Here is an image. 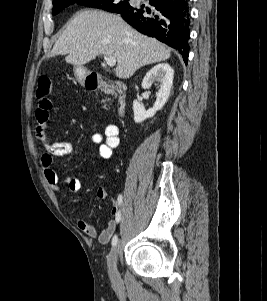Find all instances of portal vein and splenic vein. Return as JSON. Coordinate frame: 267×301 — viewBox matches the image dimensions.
Here are the masks:
<instances>
[{"mask_svg": "<svg viewBox=\"0 0 267 301\" xmlns=\"http://www.w3.org/2000/svg\"><path fill=\"white\" fill-rule=\"evenodd\" d=\"M104 59L109 67H113L116 64V58L112 56L104 55Z\"/></svg>", "mask_w": 267, "mask_h": 301, "instance_id": "18ae733b", "label": "portal vein and splenic vein"}]
</instances>
